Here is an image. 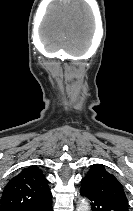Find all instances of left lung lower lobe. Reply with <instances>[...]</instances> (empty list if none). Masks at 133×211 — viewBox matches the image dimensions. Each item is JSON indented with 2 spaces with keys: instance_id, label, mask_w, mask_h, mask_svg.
Returning a JSON list of instances; mask_svg holds the SVG:
<instances>
[{
  "instance_id": "0a47b994",
  "label": "left lung lower lobe",
  "mask_w": 133,
  "mask_h": 211,
  "mask_svg": "<svg viewBox=\"0 0 133 211\" xmlns=\"http://www.w3.org/2000/svg\"><path fill=\"white\" fill-rule=\"evenodd\" d=\"M80 193L90 200L92 211H129L127 204L98 196L82 188Z\"/></svg>"
}]
</instances>
